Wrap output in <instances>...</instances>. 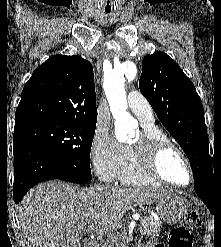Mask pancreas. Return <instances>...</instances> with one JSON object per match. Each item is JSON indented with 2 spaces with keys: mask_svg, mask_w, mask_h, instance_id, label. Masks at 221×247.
<instances>
[{
  "mask_svg": "<svg viewBox=\"0 0 221 247\" xmlns=\"http://www.w3.org/2000/svg\"><path fill=\"white\" fill-rule=\"evenodd\" d=\"M161 230V221L155 220L152 216L141 219L139 231L142 235L155 236Z\"/></svg>",
  "mask_w": 221,
  "mask_h": 247,
  "instance_id": "pancreas-1",
  "label": "pancreas"
}]
</instances>
